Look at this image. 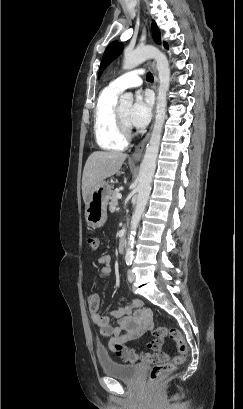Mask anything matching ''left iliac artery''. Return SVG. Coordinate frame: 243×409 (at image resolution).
I'll use <instances>...</instances> for the list:
<instances>
[{"mask_svg": "<svg viewBox=\"0 0 243 409\" xmlns=\"http://www.w3.org/2000/svg\"><path fill=\"white\" fill-rule=\"evenodd\" d=\"M126 264L129 266L132 264V259L131 258H127L126 259Z\"/></svg>", "mask_w": 243, "mask_h": 409, "instance_id": "left-iliac-artery-1", "label": "left iliac artery"}]
</instances>
